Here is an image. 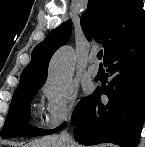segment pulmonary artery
<instances>
[{
  "mask_svg": "<svg viewBox=\"0 0 145 147\" xmlns=\"http://www.w3.org/2000/svg\"><path fill=\"white\" fill-rule=\"evenodd\" d=\"M99 68L97 65V57L92 55L90 57V66L88 67V73L90 76L95 77L98 74Z\"/></svg>",
  "mask_w": 145,
  "mask_h": 147,
  "instance_id": "e3ab8cb5",
  "label": "pulmonary artery"
}]
</instances>
